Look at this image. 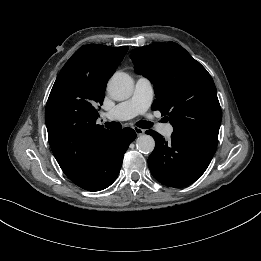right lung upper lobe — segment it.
<instances>
[{
  "label": "right lung upper lobe",
  "instance_id": "obj_1",
  "mask_svg": "<svg viewBox=\"0 0 261 261\" xmlns=\"http://www.w3.org/2000/svg\"><path fill=\"white\" fill-rule=\"evenodd\" d=\"M127 46L85 45L67 61L50 92L45 122L53 154L68 178L81 171L111 132L96 124L108 78Z\"/></svg>",
  "mask_w": 261,
  "mask_h": 261
}]
</instances>
